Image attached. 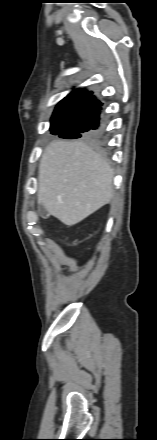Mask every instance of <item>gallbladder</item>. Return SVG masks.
Instances as JSON below:
<instances>
[{
    "mask_svg": "<svg viewBox=\"0 0 157 440\" xmlns=\"http://www.w3.org/2000/svg\"><path fill=\"white\" fill-rule=\"evenodd\" d=\"M38 211H39V213H40L42 216L45 215L46 209H45V207H44L41 203H39V202H38Z\"/></svg>",
    "mask_w": 157,
    "mask_h": 440,
    "instance_id": "obj_1",
    "label": "gallbladder"
}]
</instances>
